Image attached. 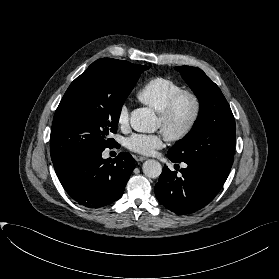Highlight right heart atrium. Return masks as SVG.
<instances>
[{"instance_id":"1","label":"right heart atrium","mask_w":279,"mask_h":279,"mask_svg":"<svg viewBox=\"0 0 279 279\" xmlns=\"http://www.w3.org/2000/svg\"><path fill=\"white\" fill-rule=\"evenodd\" d=\"M130 110L126 104H123L118 111L117 122L120 127L126 128L129 125Z\"/></svg>"}]
</instances>
